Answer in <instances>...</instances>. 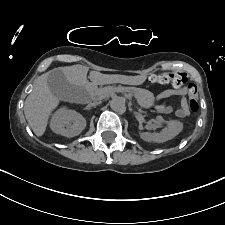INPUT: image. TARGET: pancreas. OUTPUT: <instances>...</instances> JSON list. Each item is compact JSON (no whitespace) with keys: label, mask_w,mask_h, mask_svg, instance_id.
<instances>
[{"label":"pancreas","mask_w":225,"mask_h":225,"mask_svg":"<svg viewBox=\"0 0 225 225\" xmlns=\"http://www.w3.org/2000/svg\"><path fill=\"white\" fill-rule=\"evenodd\" d=\"M125 91L131 94H134L138 100L139 105L142 108L149 109L152 106H154L155 103V97L154 94L146 89L142 88H135V87H104V88H98L95 90V94L97 96L105 97L112 92L115 91Z\"/></svg>","instance_id":"pancreas-1"}]
</instances>
